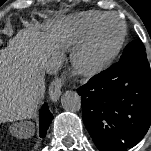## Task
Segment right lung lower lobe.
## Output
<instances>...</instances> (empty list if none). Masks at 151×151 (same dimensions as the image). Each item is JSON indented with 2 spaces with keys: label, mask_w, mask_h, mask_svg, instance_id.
<instances>
[{
  "label": "right lung lower lobe",
  "mask_w": 151,
  "mask_h": 151,
  "mask_svg": "<svg viewBox=\"0 0 151 151\" xmlns=\"http://www.w3.org/2000/svg\"><path fill=\"white\" fill-rule=\"evenodd\" d=\"M52 118L53 115L49 111L48 104L44 103L39 114V128L41 138L45 137L47 129L52 121Z\"/></svg>",
  "instance_id": "right-lung-lower-lobe-1"
}]
</instances>
